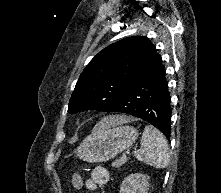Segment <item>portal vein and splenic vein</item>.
Instances as JSON below:
<instances>
[{
	"mask_svg": "<svg viewBox=\"0 0 221 193\" xmlns=\"http://www.w3.org/2000/svg\"><path fill=\"white\" fill-rule=\"evenodd\" d=\"M137 151H134V153H136ZM124 157L126 158V155H124Z\"/></svg>",
	"mask_w": 221,
	"mask_h": 193,
	"instance_id": "18ae733b",
	"label": "portal vein and splenic vein"
}]
</instances>
